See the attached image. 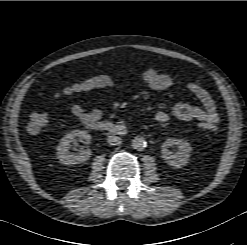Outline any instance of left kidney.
Wrapping results in <instances>:
<instances>
[{
  "mask_svg": "<svg viewBox=\"0 0 247 245\" xmlns=\"http://www.w3.org/2000/svg\"><path fill=\"white\" fill-rule=\"evenodd\" d=\"M173 145H176L178 148L176 153H173L168 149ZM161 147L162 158L169 165L174 167H181L186 165L189 160L190 153L192 152L191 145L182 139L168 138L166 141H164Z\"/></svg>",
  "mask_w": 247,
  "mask_h": 245,
  "instance_id": "obj_1",
  "label": "left kidney"
}]
</instances>
